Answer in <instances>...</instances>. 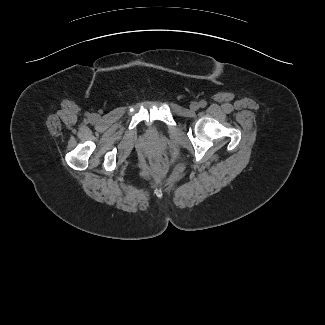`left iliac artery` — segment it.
<instances>
[{
    "label": "left iliac artery",
    "instance_id": "1",
    "mask_svg": "<svg viewBox=\"0 0 325 325\" xmlns=\"http://www.w3.org/2000/svg\"><path fill=\"white\" fill-rule=\"evenodd\" d=\"M206 105H207V102L205 100H202L200 102V107L204 108V107H206Z\"/></svg>",
    "mask_w": 325,
    "mask_h": 325
}]
</instances>
